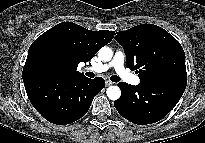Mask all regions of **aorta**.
I'll list each match as a JSON object with an SVG mask.
<instances>
[{
	"mask_svg": "<svg viewBox=\"0 0 205 143\" xmlns=\"http://www.w3.org/2000/svg\"><path fill=\"white\" fill-rule=\"evenodd\" d=\"M99 58L104 61H110L113 57V51L109 47H102L98 52ZM106 94L110 100H118L121 96V90L118 86H110L107 88Z\"/></svg>",
	"mask_w": 205,
	"mask_h": 143,
	"instance_id": "762f6f07",
	"label": "aorta"
}]
</instances>
